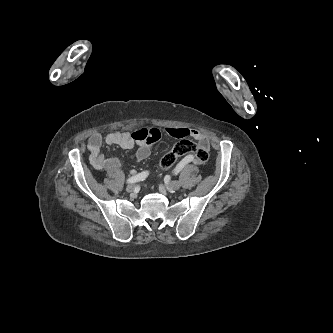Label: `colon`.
<instances>
[{"label":"colon","instance_id":"colon-1","mask_svg":"<svg viewBox=\"0 0 333 333\" xmlns=\"http://www.w3.org/2000/svg\"><path fill=\"white\" fill-rule=\"evenodd\" d=\"M183 155H192L197 164H204L209 158L207 149L197 146L194 142L188 139H183L175 145L171 152L161 159V169L169 170L176 163L177 158Z\"/></svg>","mask_w":333,"mask_h":333}]
</instances>
